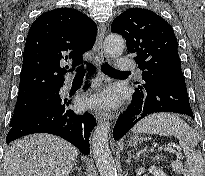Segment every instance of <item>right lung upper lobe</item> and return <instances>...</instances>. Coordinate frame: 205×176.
Wrapping results in <instances>:
<instances>
[{
  "mask_svg": "<svg viewBox=\"0 0 205 176\" xmlns=\"http://www.w3.org/2000/svg\"><path fill=\"white\" fill-rule=\"evenodd\" d=\"M96 24L71 8H58L38 17L29 30L17 98L60 88L67 68L83 63L81 55L95 42Z\"/></svg>",
  "mask_w": 205,
  "mask_h": 176,
  "instance_id": "right-lung-upper-lobe-1",
  "label": "right lung upper lobe"
}]
</instances>
